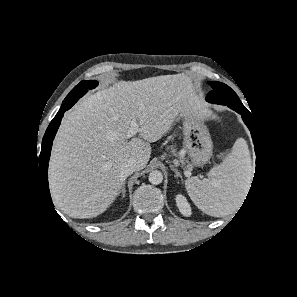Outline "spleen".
I'll use <instances>...</instances> for the list:
<instances>
[{
	"instance_id": "obj_1",
	"label": "spleen",
	"mask_w": 297,
	"mask_h": 297,
	"mask_svg": "<svg viewBox=\"0 0 297 297\" xmlns=\"http://www.w3.org/2000/svg\"><path fill=\"white\" fill-rule=\"evenodd\" d=\"M252 179L251 157L246 141L236 140L232 152L213 167L208 177L185 181L188 195L204 213L222 217L235 212L246 196Z\"/></svg>"
}]
</instances>
